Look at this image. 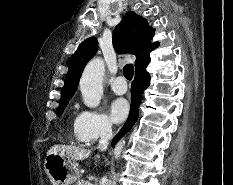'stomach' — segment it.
Returning a JSON list of instances; mask_svg holds the SVG:
<instances>
[{"mask_svg": "<svg viewBox=\"0 0 233 185\" xmlns=\"http://www.w3.org/2000/svg\"><path fill=\"white\" fill-rule=\"evenodd\" d=\"M44 168L52 185H72L80 177L77 163L59 154H47Z\"/></svg>", "mask_w": 233, "mask_h": 185, "instance_id": "1", "label": "stomach"}]
</instances>
